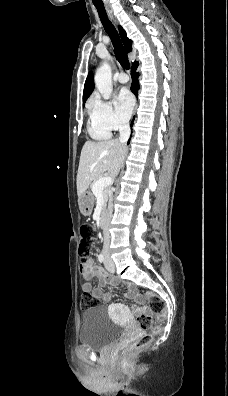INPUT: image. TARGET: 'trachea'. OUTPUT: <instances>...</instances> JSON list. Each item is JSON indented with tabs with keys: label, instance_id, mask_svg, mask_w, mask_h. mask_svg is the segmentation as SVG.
Returning a JSON list of instances; mask_svg holds the SVG:
<instances>
[{
	"label": "trachea",
	"instance_id": "trachea-1",
	"mask_svg": "<svg viewBox=\"0 0 228 396\" xmlns=\"http://www.w3.org/2000/svg\"><path fill=\"white\" fill-rule=\"evenodd\" d=\"M96 9L98 11L101 22L104 26V29L112 41V44H113V47L115 50L116 59L118 60V62L121 64V66L124 69H127V70L130 69V63H129L128 57L126 55V52L124 50V47L121 43L118 32L116 31L115 27L110 22V20L108 19L105 8L101 7V6H96Z\"/></svg>",
	"mask_w": 228,
	"mask_h": 396
}]
</instances>
